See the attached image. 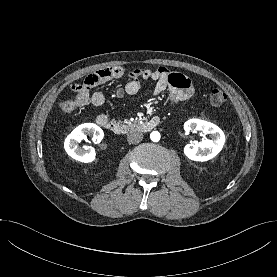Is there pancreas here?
<instances>
[{
	"label": "pancreas",
	"mask_w": 277,
	"mask_h": 277,
	"mask_svg": "<svg viewBox=\"0 0 277 277\" xmlns=\"http://www.w3.org/2000/svg\"><path fill=\"white\" fill-rule=\"evenodd\" d=\"M143 127V124H140L139 121H134L131 123L130 121L125 122L123 128L129 131L140 130Z\"/></svg>",
	"instance_id": "cf45deb5"
}]
</instances>
